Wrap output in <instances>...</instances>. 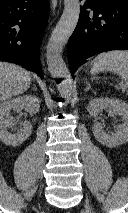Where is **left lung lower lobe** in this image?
<instances>
[{
    "instance_id": "1",
    "label": "left lung lower lobe",
    "mask_w": 128,
    "mask_h": 213,
    "mask_svg": "<svg viewBox=\"0 0 128 213\" xmlns=\"http://www.w3.org/2000/svg\"><path fill=\"white\" fill-rule=\"evenodd\" d=\"M111 50H128V0H86L68 42L71 74L85 59Z\"/></svg>"
}]
</instances>
